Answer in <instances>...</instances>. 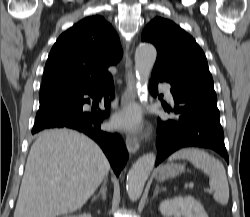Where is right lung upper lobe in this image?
I'll use <instances>...</instances> for the list:
<instances>
[{
  "label": "right lung upper lobe",
  "instance_id": "cb5924a9",
  "mask_svg": "<svg viewBox=\"0 0 250 217\" xmlns=\"http://www.w3.org/2000/svg\"><path fill=\"white\" fill-rule=\"evenodd\" d=\"M119 37L101 16L87 17L64 32L45 65L40 106L93 90L112 76L107 71L122 57Z\"/></svg>",
  "mask_w": 250,
  "mask_h": 217
}]
</instances>
